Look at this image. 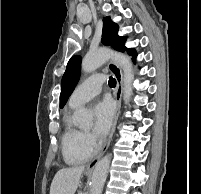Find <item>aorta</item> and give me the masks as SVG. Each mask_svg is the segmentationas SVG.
<instances>
[{
	"mask_svg": "<svg viewBox=\"0 0 201 194\" xmlns=\"http://www.w3.org/2000/svg\"><path fill=\"white\" fill-rule=\"evenodd\" d=\"M109 59L118 63L123 70V93L124 101L127 103L133 93L132 83L134 81V73L132 63L126 55L114 52L108 48H99L95 51H90L85 55L81 63V69L83 72L91 73ZM75 118L80 126L89 127L92 124L93 115L90 110L82 108L76 112ZM110 162V155H106L96 164L91 179L90 194L102 193Z\"/></svg>",
	"mask_w": 201,
	"mask_h": 194,
	"instance_id": "aorta-1",
	"label": "aorta"
}]
</instances>
